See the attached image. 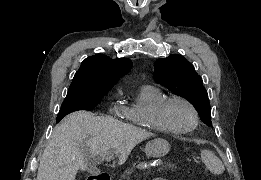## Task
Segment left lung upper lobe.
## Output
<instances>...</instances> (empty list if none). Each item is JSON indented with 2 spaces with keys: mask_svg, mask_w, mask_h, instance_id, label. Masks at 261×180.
<instances>
[{
  "mask_svg": "<svg viewBox=\"0 0 261 180\" xmlns=\"http://www.w3.org/2000/svg\"><path fill=\"white\" fill-rule=\"evenodd\" d=\"M154 80L186 98L196 108L206 125H212L211 108L202 78L183 56L172 54L154 64Z\"/></svg>",
  "mask_w": 261,
  "mask_h": 180,
  "instance_id": "1",
  "label": "left lung upper lobe"
}]
</instances>
